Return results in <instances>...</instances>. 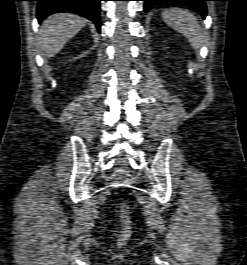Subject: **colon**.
I'll list each match as a JSON object with an SVG mask.
<instances>
[{"instance_id": "5ec220e1", "label": "colon", "mask_w": 247, "mask_h": 265, "mask_svg": "<svg viewBox=\"0 0 247 265\" xmlns=\"http://www.w3.org/2000/svg\"><path fill=\"white\" fill-rule=\"evenodd\" d=\"M120 222L121 228L118 237V244L119 246H124L132 235V219L130 208L126 204H123L120 207Z\"/></svg>"}]
</instances>
